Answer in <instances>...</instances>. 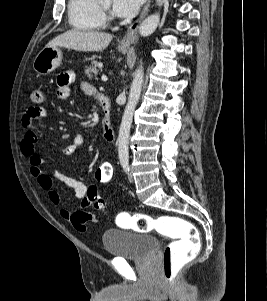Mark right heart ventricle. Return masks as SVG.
<instances>
[{
  "label": "right heart ventricle",
  "instance_id": "1",
  "mask_svg": "<svg viewBox=\"0 0 267 301\" xmlns=\"http://www.w3.org/2000/svg\"><path fill=\"white\" fill-rule=\"evenodd\" d=\"M68 18L70 25L80 31H96L104 27L97 0H69Z\"/></svg>",
  "mask_w": 267,
  "mask_h": 301
}]
</instances>
